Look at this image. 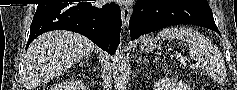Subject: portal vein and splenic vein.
Segmentation results:
<instances>
[{
  "label": "portal vein and splenic vein",
  "mask_w": 237,
  "mask_h": 90,
  "mask_svg": "<svg viewBox=\"0 0 237 90\" xmlns=\"http://www.w3.org/2000/svg\"><path fill=\"white\" fill-rule=\"evenodd\" d=\"M182 66H185V62H181Z\"/></svg>",
  "instance_id": "portal-vein-and-splenic-vein-1"
}]
</instances>
